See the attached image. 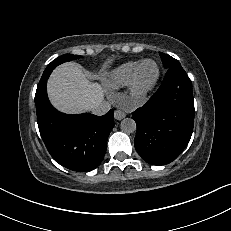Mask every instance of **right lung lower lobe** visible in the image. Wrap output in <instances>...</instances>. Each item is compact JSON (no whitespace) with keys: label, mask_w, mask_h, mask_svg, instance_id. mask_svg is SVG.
<instances>
[{"label":"right lung lower lobe","mask_w":231,"mask_h":231,"mask_svg":"<svg viewBox=\"0 0 231 231\" xmlns=\"http://www.w3.org/2000/svg\"><path fill=\"white\" fill-rule=\"evenodd\" d=\"M55 68L48 65L35 94L37 122L41 137L50 155L64 167L87 172L102 161L107 138L114 127L113 110L104 116L84 113L67 115L57 111L49 102L47 80Z\"/></svg>","instance_id":"1"}]
</instances>
